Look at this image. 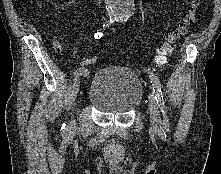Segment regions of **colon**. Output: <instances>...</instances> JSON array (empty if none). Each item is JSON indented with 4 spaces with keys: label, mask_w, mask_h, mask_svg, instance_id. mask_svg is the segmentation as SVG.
I'll use <instances>...</instances> for the list:
<instances>
[{
    "label": "colon",
    "mask_w": 221,
    "mask_h": 174,
    "mask_svg": "<svg viewBox=\"0 0 221 174\" xmlns=\"http://www.w3.org/2000/svg\"><path fill=\"white\" fill-rule=\"evenodd\" d=\"M200 6V0H192L182 17L165 29L166 42L158 49V53L154 58V67L156 69L167 64L169 57L176 49L177 41L188 32L196 21ZM96 62L97 59L94 56H88L84 59V64L86 65H94Z\"/></svg>",
    "instance_id": "obj_1"
}]
</instances>
